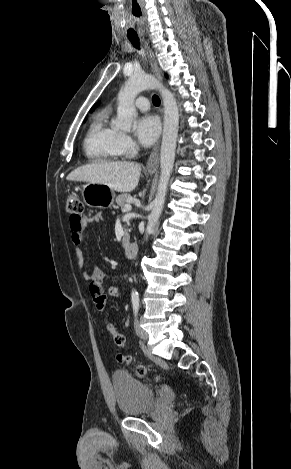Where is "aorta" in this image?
I'll return each instance as SVG.
<instances>
[{
  "label": "aorta",
  "instance_id": "1",
  "mask_svg": "<svg viewBox=\"0 0 291 469\" xmlns=\"http://www.w3.org/2000/svg\"><path fill=\"white\" fill-rule=\"evenodd\" d=\"M157 89L162 95L164 104V127L160 151V179L157 193L153 201V208L148 216L145 238L153 232L162 213L168 182L173 170L175 160L176 141L179 129V111L173 94L163 87L151 75H132L118 94L117 119L114 126L123 131H130L132 121L136 115L134 100L143 90Z\"/></svg>",
  "mask_w": 291,
  "mask_h": 469
}]
</instances>
